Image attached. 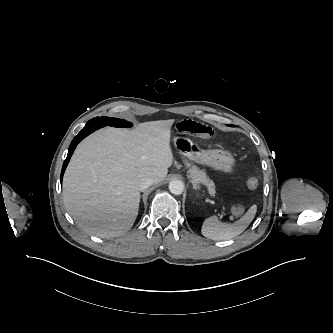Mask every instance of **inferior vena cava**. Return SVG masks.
I'll use <instances>...</instances> for the list:
<instances>
[{"label":"inferior vena cava","instance_id":"602c4592","mask_svg":"<svg viewBox=\"0 0 333 333\" xmlns=\"http://www.w3.org/2000/svg\"><path fill=\"white\" fill-rule=\"evenodd\" d=\"M154 183V180L150 177H145L139 182V189L141 191L146 190Z\"/></svg>","mask_w":333,"mask_h":333}]
</instances>
